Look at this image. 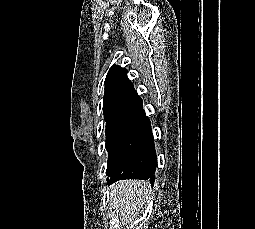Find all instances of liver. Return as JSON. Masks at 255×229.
Listing matches in <instances>:
<instances>
[{
  "instance_id": "liver-1",
  "label": "liver",
  "mask_w": 255,
  "mask_h": 229,
  "mask_svg": "<svg viewBox=\"0 0 255 229\" xmlns=\"http://www.w3.org/2000/svg\"><path fill=\"white\" fill-rule=\"evenodd\" d=\"M149 182L123 180L110 187V205L121 220L135 217L142 212L150 199Z\"/></svg>"
}]
</instances>
